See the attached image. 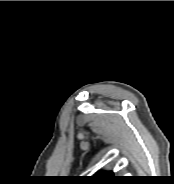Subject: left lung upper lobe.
Returning a JSON list of instances; mask_svg holds the SVG:
<instances>
[{
  "label": "left lung upper lobe",
  "mask_w": 174,
  "mask_h": 184,
  "mask_svg": "<svg viewBox=\"0 0 174 184\" xmlns=\"http://www.w3.org/2000/svg\"><path fill=\"white\" fill-rule=\"evenodd\" d=\"M120 178L113 175L112 172H100L87 178L92 184H109L118 181Z\"/></svg>",
  "instance_id": "5c2ea615"
}]
</instances>
